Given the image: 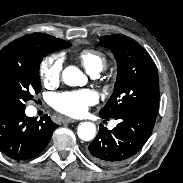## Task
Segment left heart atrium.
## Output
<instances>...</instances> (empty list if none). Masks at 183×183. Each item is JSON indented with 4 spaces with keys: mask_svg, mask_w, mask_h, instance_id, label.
I'll list each match as a JSON object with an SVG mask.
<instances>
[{
    "mask_svg": "<svg viewBox=\"0 0 183 183\" xmlns=\"http://www.w3.org/2000/svg\"><path fill=\"white\" fill-rule=\"evenodd\" d=\"M96 102L97 95L91 89L61 92L52 98V106L56 111L72 117L84 114Z\"/></svg>",
    "mask_w": 183,
    "mask_h": 183,
    "instance_id": "39dd6f15",
    "label": "left heart atrium"
}]
</instances>
